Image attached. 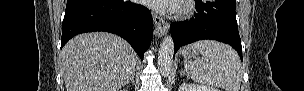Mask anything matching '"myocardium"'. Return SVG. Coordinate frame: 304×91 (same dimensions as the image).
<instances>
[{
    "label": "myocardium",
    "mask_w": 304,
    "mask_h": 91,
    "mask_svg": "<svg viewBox=\"0 0 304 91\" xmlns=\"http://www.w3.org/2000/svg\"><path fill=\"white\" fill-rule=\"evenodd\" d=\"M191 10H192V6L189 4V2H183L177 8V14L179 16H184L190 13Z\"/></svg>",
    "instance_id": "1"
}]
</instances>
